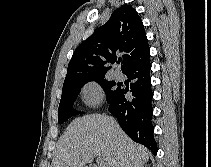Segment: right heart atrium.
I'll list each match as a JSON object with an SVG mask.
<instances>
[{
	"label": "right heart atrium",
	"mask_w": 211,
	"mask_h": 167,
	"mask_svg": "<svg viewBox=\"0 0 211 167\" xmlns=\"http://www.w3.org/2000/svg\"><path fill=\"white\" fill-rule=\"evenodd\" d=\"M82 95L86 104L96 105L102 99V90L96 82H89L83 87Z\"/></svg>",
	"instance_id": "1"
}]
</instances>
